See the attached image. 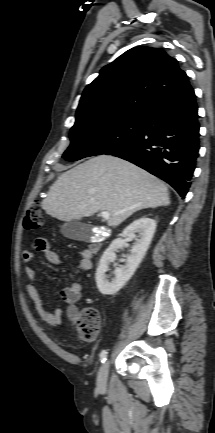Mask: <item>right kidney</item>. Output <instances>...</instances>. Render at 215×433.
Segmentation results:
<instances>
[{
  "label": "right kidney",
  "mask_w": 215,
  "mask_h": 433,
  "mask_svg": "<svg viewBox=\"0 0 215 433\" xmlns=\"http://www.w3.org/2000/svg\"><path fill=\"white\" fill-rule=\"evenodd\" d=\"M155 230V220L144 216L135 220L124 229L123 237L126 238L125 240L117 238L110 244L103 253L95 274L97 287L103 295L117 293L129 281L144 258ZM132 238H135L136 242L131 249L130 255L127 257L126 265L116 268L115 277L109 282L105 274L108 271L109 264L115 261L117 250L123 249L126 241Z\"/></svg>",
  "instance_id": "obj_1"
}]
</instances>
